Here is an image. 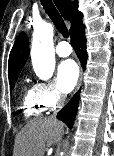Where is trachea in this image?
Instances as JSON below:
<instances>
[{
	"label": "trachea",
	"instance_id": "3493384b",
	"mask_svg": "<svg viewBox=\"0 0 114 156\" xmlns=\"http://www.w3.org/2000/svg\"><path fill=\"white\" fill-rule=\"evenodd\" d=\"M43 8L45 9L46 13L54 23L57 30L63 35V37L68 38L69 33L68 29L62 19L61 15L59 14L58 10L54 6L51 0H40Z\"/></svg>",
	"mask_w": 114,
	"mask_h": 156
}]
</instances>
